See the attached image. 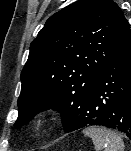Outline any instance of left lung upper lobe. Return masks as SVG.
Returning <instances> with one entry per match:
<instances>
[{
    "mask_svg": "<svg viewBox=\"0 0 131 151\" xmlns=\"http://www.w3.org/2000/svg\"><path fill=\"white\" fill-rule=\"evenodd\" d=\"M130 49L129 23L112 0H78L61 9L30 45L14 126L53 108L67 132L102 71Z\"/></svg>",
    "mask_w": 131,
    "mask_h": 151,
    "instance_id": "1",
    "label": "left lung upper lobe"
}]
</instances>
